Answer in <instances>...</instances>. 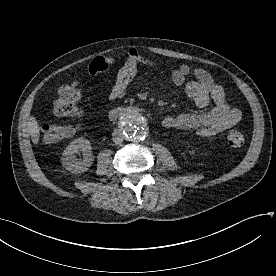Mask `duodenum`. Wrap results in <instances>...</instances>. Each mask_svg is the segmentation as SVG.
Instances as JSON below:
<instances>
[{"mask_svg": "<svg viewBox=\"0 0 276 276\" xmlns=\"http://www.w3.org/2000/svg\"><path fill=\"white\" fill-rule=\"evenodd\" d=\"M127 112H128V109L123 108V107H117V108L112 109L109 112V117L112 120H118L121 117L125 116L127 114Z\"/></svg>", "mask_w": 276, "mask_h": 276, "instance_id": "410a0bca", "label": "duodenum"}]
</instances>
